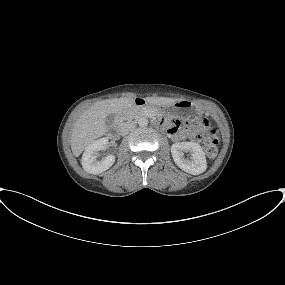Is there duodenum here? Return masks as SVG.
Returning <instances> with one entry per match:
<instances>
[{
  "mask_svg": "<svg viewBox=\"0 0 285 285\" xmlns=\"http://www.w3.org/2000/svg\"><path fill=\"white\" fill-rule=\"evenodd\" d=\"M131 103L137 108L138 111L142 110L146 105V101L142 98H136L132 100ZM120 130H121V123L117 121L113 126L112 131L114 133H118Z\"/></svg>",
  "mask_w": 285,
  "mask_h": 285,
  "instance_id": "obj_1",
  "label": "duodenum"
}]
</instances>
